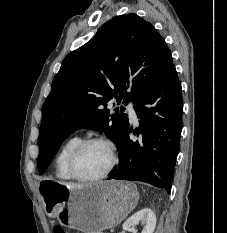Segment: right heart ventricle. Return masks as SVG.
I'll use <instances>...</instances> for the list:
<instances>
[{
	"instance_id": "e07e8e85",
	"label": "right heart ventricle",
	"mask_w": 227,
	"mask_h": 233,
	"mask_svg": "<svg viewBox=\"0 0 227 233\" xmlns=\"http://www.w3.org/2000/svg\"><path fill=\"white\" fill-rule=\"evenodd\" d=\"M81 141L79 136H72L68 138L61 148L59 149L56 158H55V172L56 176L65 181H69L73 179L69 174L67 167V160L71 150L75 147V145Z\"/></svg>"
}]
</instances>
